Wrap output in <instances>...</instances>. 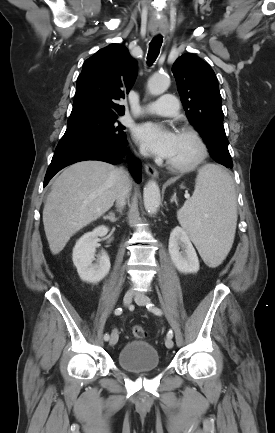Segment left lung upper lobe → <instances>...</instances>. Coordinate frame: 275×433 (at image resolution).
Here are the masks:
<instances>
[{"mask_svg": "<svg viewBox=\"0 0 275 433\" xmlns=\"http://www.w3.org/2000/svg\"><path fill=\"white\" fill-rule=\"evenodd\" d=\"M172 72L186 115L207 144L211 156L226 167L233 165L214 71L198 56L189 53L175 61Z\"/></svg>", "mask_w": 275, "mask_h": 433, "instance_id": "obj_1", "label": "left lung upper lobe"}]
</instances>
